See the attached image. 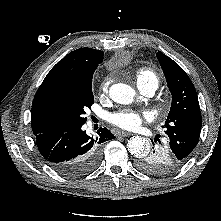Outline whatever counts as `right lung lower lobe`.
<instances>
[{
    "label": "right lung lower lobe",
    "instance_id": "right-lung-lower-lobe-1",
    "mask_svg": "<svg viewBox=\"0 0 221 221\" xmlns=\"http://www.w3.org/2000/svg\"><path fill=\"white\" fill-rule=\"evenodd\" d=\"M97 133L96 138L90 137L79 126L56 134L38 135L36 143L52 169L64 176L78 177L97 166L102 143L114 138L106 127Z\"/></svg>",
    "mask_w": 221,
    "mask_h": 221
}]
</instances>
